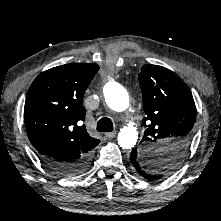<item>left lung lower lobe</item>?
<instances>
[{
    "label": "left lung lower lobe",
    "mask_w": 221,
    "mask_h": 221,
    "mask_svg": "<svg viewBox=\"0 0 221 221\" xmlns=\"http://www.w3.org/2000/svg\"><path fill=\"white\" fill-rule=\"evenodd\" d=\"M130 162L132 166V171L136 176L139 178H143L148 181H153L150 180L149 178L151 177L150 174L146 171L147 166L143 163L142 159L140 158V155L136 149L132 150L131 155H130Z\"/></svg>",
    "instance_id": "obj_1"
}]
</instances>
